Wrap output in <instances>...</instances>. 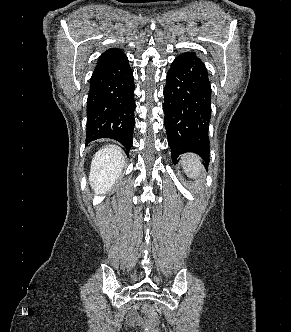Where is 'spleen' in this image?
<instances>
[{"label": "spleen", "instance_id": "3e777b00", "mask_svg": "<svg viewBox=\"0 0 291 332\" xmlns=\"http://www.w3.org/2000/svg\"><path fill=\"white\" fill-rule=\"evenodd\" d=\"M181 166L185 174L193 179L200 178L203 172L201 158L193 153H185L181 156Z\"/></svg>", "mask_w": 291, "mask_h": 332}]
</instances>
